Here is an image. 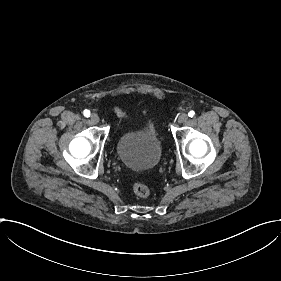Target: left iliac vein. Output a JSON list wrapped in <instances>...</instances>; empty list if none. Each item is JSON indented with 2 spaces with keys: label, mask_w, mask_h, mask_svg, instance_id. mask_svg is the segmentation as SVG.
I'll return each mask as SVG.
<instances>
[{
  "label": "left iliac vein",
  "mask_w": 281,
  "mask_h": 281,
  "mask_svg": "<svg viewBox=\"0 0 281 281\" xmlns=\"http://www.w3.org/2000/svg\"><path fill=\"white\" fill-rule=\"evenodd\" d=\"M179 121H180V123H182V124L187 123V121H188V116H187V114H185V113L180 114V116H179Z\"/></svg>",
  "instance_id": "1"
}]
</instances>
